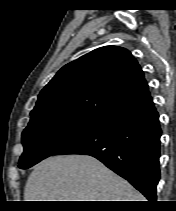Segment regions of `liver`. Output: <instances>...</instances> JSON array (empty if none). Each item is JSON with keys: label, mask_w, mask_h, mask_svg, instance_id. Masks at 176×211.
<instances>
[{"label": "liver", "mask_w": 176, "mask_h": 211, "mask_svg": "<svg viewBox=\"0 0 176 211\" xmlns=\"http://www.w3.org/2000/svg\"><path fill=\"white\" fill-rule=\"evenodd\" d=\"M25 201H144L126 180L87 155L49 157L29 175Z\"/></svg>", "instance_id": "liver-1"}]
</instances>
